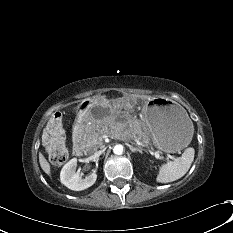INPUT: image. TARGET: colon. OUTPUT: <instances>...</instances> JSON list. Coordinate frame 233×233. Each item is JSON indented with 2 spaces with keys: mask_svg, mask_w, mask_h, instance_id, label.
Wrapping results in <instances>:
<instances>
[{
  "mask_svg": "<svg viewBox=\"0 0 233 233\" xmlns=\"http://www.w3.org/2000/svg\"><path fill=\"white\" fill-rule=\"evenodd\" d=\"M44 145L53 164L61 165L67 160L68 150L64 139L62 120L58 114H54L47 124L44 132Z\"/></svg>",
  "mask_w": 233,
  "mask_h": 233,
  "instance_id": "colon-1",
  "label": "colon"
}]
</instances>
